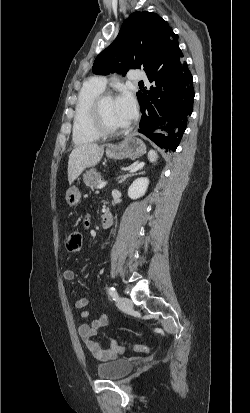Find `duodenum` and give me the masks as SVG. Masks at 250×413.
Returning a JSON list of instances; mask_svg holds the SVG:
<instances>
[{
	"label": "duodenum",
	"instance_id": "410a0bca",
	"mask_svg": "<svg viewBox=\"0 0 250 413\" xmlns=\"http://www.w3.org/2000/svg\"><path fill=\"white\" fill-rule=\"evenodd\" d=\"M112 222V214L109 211H106L101 217V227L106 229L111 226Z\"/></svg>",
	"mask_w": 250,
	"mask_h": 413
}]
</instances>
